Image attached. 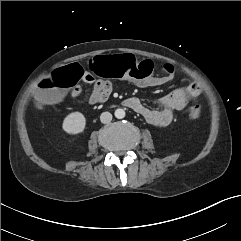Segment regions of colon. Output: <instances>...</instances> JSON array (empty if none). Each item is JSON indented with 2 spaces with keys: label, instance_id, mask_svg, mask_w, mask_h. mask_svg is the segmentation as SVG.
I'll return each mask as SVG.
<instances>
[{
  "label": "colon",
  "instance_id": "1",
  "mask_svg": "<svg viewBox=\"0 0 241 241\" xmlns=\"http://www.w3.org/2000/svg\"><path fill=\"white\" fill-rule=\"evenodd\" d=\"M86 69L92 75H100L108 78L128 77L136 80L148 78L154 70L151 60H136L130 54L122 55H95L86 62ZM162 69L167 74L174 73L171 64H163ZM85 74V67L77 60H69L65 65L51 74H45L41 78V84L36 94V101L40 105L50 104L61 99L63 94L72 88L79 78ZM188 114L196 119L201 115L198 105L190 107Z\"/></svg>",
  "mask_w": 241,
  "mask_h": 241
}]
</instances>
